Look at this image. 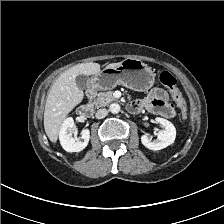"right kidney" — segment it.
Wrapping results in <instances>:
<instances>
[{"label": "right kidney", "instance_id": "obj_1", "mask_svg": "<svg viewBox=\"0 0 224 224\" xmlns=\"http://www.w3.org/2000/svg\"><path fill=\"white\" fill-rule=\"evenodd\" d=\"M74 128V120L69 117L63 121L59 132V140L63 149L67 152H80L82 151L89 142L90 131L88 129H83L81 132V140L76 141L72 137Z\"/></svg>", "mask_w": 224, "mask_h": 224}]
</instances>
